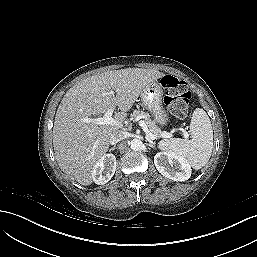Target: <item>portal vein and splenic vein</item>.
Segmentation results:
<instances>
[{"mask_svg":"<svg viewBox=\"0 0 257 257\" xmlns=\"http://www.w3.org/2000/svg\"><path fill=\"white\" fill-rule=\"evenodd\" d=\"M108 94H111L113 95L114 92L113 91H110ZM112 114H113V109H109L108 111L105 112V114L103 115V117H98V118H94V119H89V118H85L84 120L86 122L92 120L94 123L98 124V125H105V124H115V120L113 119L112 117ZM139 125L142 127V129L144 130V132L147 134V136L151 139V140H155L157 139L158 136L152 134L148 127L146 126L145 122L143 120L139 121ZM183 135L185 138H188V133L183 130ZM172 136L171 133H168V132H163L161 134L160 137H163V138H170Z\"/></svg>","mask_w":257,"mask_h":257,"instance_id":"18ae733b","label":"portal vein and splenic vein"}]
</instances>
